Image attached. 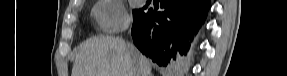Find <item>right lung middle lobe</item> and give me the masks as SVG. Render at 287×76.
I'll return each mask as SVG.
<instances>
[{
	"instance_id": "obj_1",
	"label": "right lung middle lobe",
	"mask_w": 287,
	"mask_h": 76,
	"mask_svg": "<svg viewBox=\"0 0 287 76\" xmlns=\"http://www.w3.org/2000/svg\"><path fill=\"white\" fill-rule=\"evenodd\" d=\"M146 8V7H144ZM143 8V9H144ZM143 9H139V10H133V19H135L138 15H140L141 13H143Z\"/></svg>"
}]
</instances>
